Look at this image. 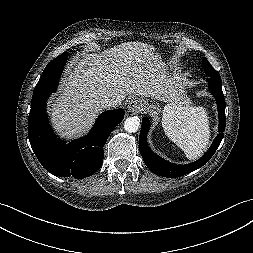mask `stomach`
Masks as SVG:
<instances>
[{
  "instance_id": "1",
  "label": "stomach",
  "mask_w": 253,
  "mask_h": 253,
  "mask_svg": "<svg viewBox=\"0 0 253 253\" xmlns=\"http://www.w3.org/2000/svg\"><path fill=\"white\" fill-rule=\"evenodd\" d=\"M153 55L155 57V60L162 65V58L160 54L157 51H155ZM182 98H183L182 89L179 88L177 85L168 84L164 91L163 99L161 101L167 103V105L171 103L177 104L182 100ZM141 102H143L144 109L152 114H157L160 111V106L157 103L156 104L150 103L148 100L145 99L141 100Z\"/></svg>"
}]
</instances>
